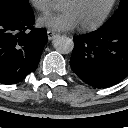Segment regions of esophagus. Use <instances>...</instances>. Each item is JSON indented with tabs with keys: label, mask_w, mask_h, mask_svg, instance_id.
Wrapping results in <instances>:
<instances>
[{
	"label": "esophagus",
	"mask_w": 128,
	"mask_h": 128,
	"mask_svg": "<svg viewBox=\"0 0 128 128\" xmlns=\"http://www.w3.org/2000/svg\"><path fill=\"white\" fill-rule=\"evenodd\" d=\"M57 35L58 34L53 31H50V30L47 31V37L49 40H53Z\"/></svg>",
	"instance_id": "1"
}]
</instances>
